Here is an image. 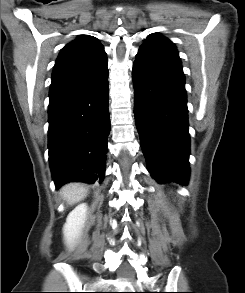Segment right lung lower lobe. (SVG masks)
Returning a JSON list of instances; mask_svg holds the SVG:
<instances>
[{
  "label": "right lung lower lobe",
  "mask_w": 245,
  "mask_h": 293,
  "mask_svg": "<svg viewBox=\"0 0 245 293\" xmlns=\"http://www.w3.org/2000/svg\"><path fill=\"white\" fill-rule=\"evenodd\" d=\"M108 91L107 69L50 97L48 148L56 187L73 181L102 182L110 132Z\"/></svg>",
  "instance_id": "98d812e1"
}]
</instances>
